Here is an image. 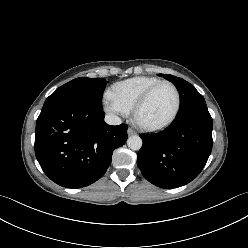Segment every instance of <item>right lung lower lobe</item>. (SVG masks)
I'll list each match as a JSON object with an SVG mask.
<instances>
[{
    "instance_id": "1",
    "label": "right lung lower lobe",
    "mask_w": 248,
    "mask_h": 248,
    "mask_svg": "<svg viewBox=\"0 0 248 248\" xmlns=\"http://www.w3.org/2000/svg\"><path fill=\"white\" fill-rule=\"evenodd\" d=\"M103 109L76 100L44 104L36 122L35 154L44 173L67 188L103 176L114 149L127 140V126L103 121Z\"/></svg>"
}]
</instances>
